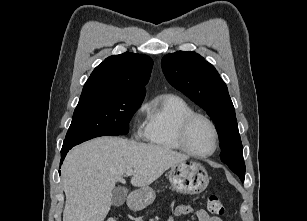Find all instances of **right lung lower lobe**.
Returning a JSON list of instances; mask_svg holds the SVG:
<instances>
[{
    "instance_id": "1",
    "label": "right lung lower lobe",
    "mask_w": 307,
    "mask_h": 221,
    "mask_svg": "<svg viewBox=\"0 0 307 221\" xmlns=\"http://www.w3.org/2000/svg\"><path fill=\"white\" fill-rule=\"evenodd\" d=\"M69 150H65V151H61V161H60V164H62L63 163V160H64V158H65V156H66V154H67V152H68Z\"/></svg>"
}]
</instances>
